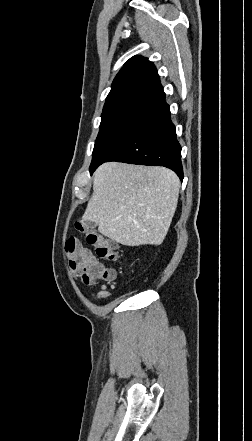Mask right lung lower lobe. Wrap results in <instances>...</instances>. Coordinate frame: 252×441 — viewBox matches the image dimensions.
I'll return each instance as SVG.
<instances>
[{
    "label": "right lung lower lobe",
    "instance_id": "1",
    "mask_svg": "<svg viewBox=\"0 0 252 441\" xmlns=\"http://www.w3.org/2000/svg\"><path fill=\"white\" fill-rule=\"evenodd\" d=\"M108 161L164 166L183 180L181 146L163 90L147 100L133 129L104 162ZM97 167L91 169L90 173Z\"/></svg>",
    "mask_w": 252,
    "mask_h": 441
}]
</instances>
